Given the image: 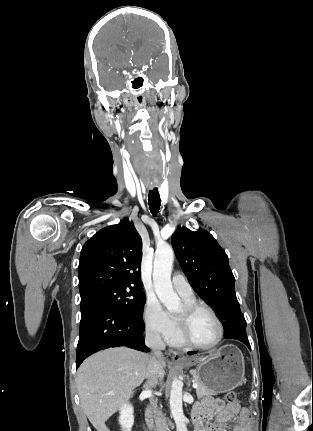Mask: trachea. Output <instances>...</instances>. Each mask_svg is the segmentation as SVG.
Returning a JSON list of instances; mask_svg holds the SVG:
<instances>
[{
	"instance_id": "obj_1",
	"label": "trachea",
	"mask_w": 313,
	"mask_h": 431,
	"mask_svg": "<svg viewBox=\"0 0 313 431\" xmlns=\"http://www.w3.org/2000/svg\"><path fill=\"white\" fill-rule=\"evenodd\" d=\"M148 204L151 213L154 216L157 215L161 206V199L157 188L149 191Z\"/></svg>"
}]
</instances>
